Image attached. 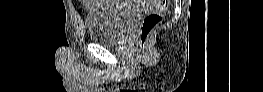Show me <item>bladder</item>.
Segmentation results:
<instances>
[{
    "label": "bladder",
    "mask_w": 263,
    "mask_h": 92,
    "mask_svg": "<svg viewBox=\"0 0 263 92\" xmlns=\"http://www.w3.org/2000/svg\"><path fill=\"white\" fill-rule=\"evenodd\" d=\"M96 6L87 13L89 39L115 46L130 29L138 12L118 6L119 1H94Z\"/></svg>",
    "instance_id": "obj_1"
}]
</instances>
